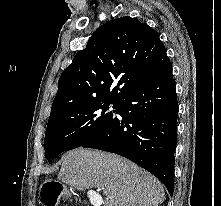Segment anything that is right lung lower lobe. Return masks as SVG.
Wrapping results in <instances>:
<instances>
[{
	"instance_id": "98d812e1",
	"label": "right lung lower lobe",
	"mask_w": 221,
	"mask_h": 206,
	"mask_svg": "<svg viewBox=\"0 0 221 206\" xmlns=\"http://www.w3.org/2000/svg\"><path fill=\"white\" fill-rule=\"evenodd\" d=\"M121 116L82 145L130 159L155 175L172 196L178 101L169 63L117 106Z\"/></svg>"
}]
</instances>
